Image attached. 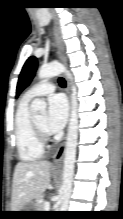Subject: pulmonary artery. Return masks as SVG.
Instances as JSON below:
<instances>
[{
	"label": "pulmonary artery",
	"mask_w": 123,
	"mask_h": 219,
	"mask_svg": "<svg viewBox=\"0 0 123 219\" xmlns=\"http://www.w3.org/2000/svg\"><path fill=\"white\" fill-rule=\"evenodd\" d=\"M55 84L49 81H45L31 87L24 95V99L30 101L36 96H42L52 93L55 90Z\"/></svg>",
	"instance_id": "pulmonary-artery-1"
}]
</instances>
